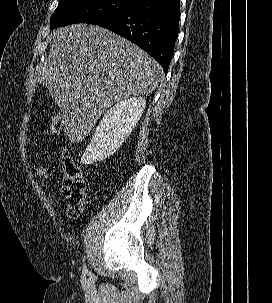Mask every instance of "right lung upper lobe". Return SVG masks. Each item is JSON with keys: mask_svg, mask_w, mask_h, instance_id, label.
<instances>
[{"mask_svg": "<svg viewBox=\"0 0 272 303\" xmlns=\"http://www.w3.org/2000/svg\"><path fill=\"white\" fill-rule=\"evenodd\" d=\"M137 3H140V2H142V1H145V0H135Z\"/></svg>", "mask_w": 272, "mask_h": 303, "instance_id": "cb5924a9", "label": "right lung upper lobe"}]
</instances>
